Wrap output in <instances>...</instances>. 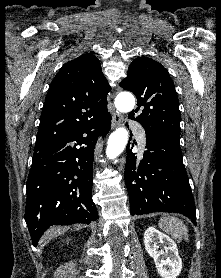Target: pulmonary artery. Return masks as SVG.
Segmentation results:
<instances>
[{
	"label": "pulmonary artery",
	"mask_w": 221,
	"mask_h": 278,
	"mask_svg": "<svg viewBox=\"0 0 221 278\" xmlns=\"http://www.w3.org/2000/svg\"><path fill=\"white\" fill-rule=\"evenodd\" d=\"M130 125H131V128L137 132V138H138L139 145L143 148L146 143V138H145L144 132L139 128L137 122L131 121Z\"/></svg>",
	"instance_id": "e3ab8cb5"
}]
</instances>
